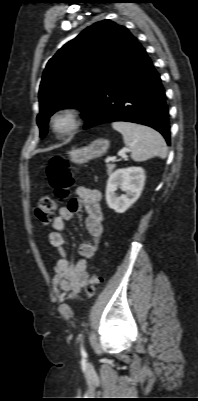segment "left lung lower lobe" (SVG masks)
Masks as SVG:
<instances>
[{"label": "left lung lower lobe", "mask_w": 198, "mask_h": 401, "mask_svg": "<svg viewBox=\"0 0 198 401\" xmlns=\"http://www.w3.org/2000/svg\"><path fill=\"white\" fill-rule=\"evenodd\" d=\"M84 119V129L114 121L147 125L159 131L170 145L165 92L138 41L107 79Z\"/></svg>", "instance_id": "obj_1"}]
</instances>
